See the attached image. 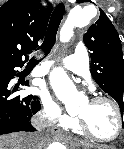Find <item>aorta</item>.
Returning a JSON list of instances; mask_svg holds the SVG:
<instances>
[{
    "label": "aorta",
    "instance_id": "762f6f07",
    "mask_svg": "<svg viewBox=\"0 0 124 149\" xmlns=\"http://www.w3.org/2000/svg\"><path fill=\"white\" fill-rule=\"evenodd\" d=\"M89 23V20L82 9H73L62 28V37L64 40L72 36L74 27H84ZM51 84L56 94L62 99H74L77 95V90L70 81L66 73L62 69H56L50 75ZM60 143H53L49 149H62Z\"/></svg>",
    "mask_w": 124,
    "mask_h": 149
}]
</instances>
